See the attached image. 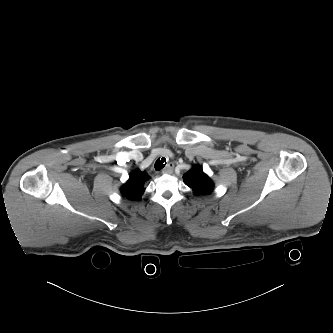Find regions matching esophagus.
Here are the masks:
<instances>
[{
    "instance_id": "obj_1",
    "label": "esophagus",
    "mask_w": 333,
    "mask_h": 333,
    "mask_svg": "<svg viewBox=\"0 0 333 333\" xmlns=\"http://www.w3.org/2000/svg\"><path fill=\"white\" fill-rule=\"evenodd\" d=\"M174 170V163H169L161 171L162 174H172Z\"/></svg>"
}]
</instances>
